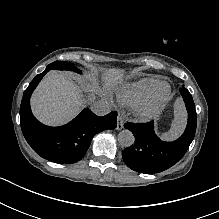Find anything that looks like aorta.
Returning a JSON list of instances; mask_svg holds the SVG:
<instances>
[{
	"mask_svg": "<svg viewBox=\"0 0 219 219\" xmlns=\"http://www.w3.org/2000/svg\"><path fill=\"white\" fill-rule=\"evenodd\" d=\"M134 141H135V137L130 130L124 129L121 132H119L118 142L123 147H130L134 143Z\"/></svg>",
	"mask_w": 219,
	"mask_h": 219,
	"instance_id": "762f6f07",
	"label": "aorta"
}]
</instances>
